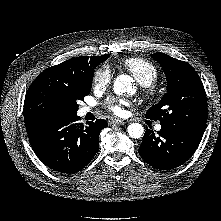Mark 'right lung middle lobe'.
I'll use <instances>...</instances> for the list:
<instances>
[{"label": "right lung middle lobe", "instance_id": "dd1d6c3e", "mask_svg": "<svg viewBox=\"0 0 221 221\" xmlns=\"http://www.w3.org/2000/svg\"><path fill=\"white\" fill-rule=\"evenodd\" d=\"M110 55L100 56L93 69L76 76L55 67L45 69L30 85L24 101V116L60 117L74 115L77 102L89 95L94 68Z\"/></svg>", "mask_w": 221, "mask_h": 221}]
</instances>
